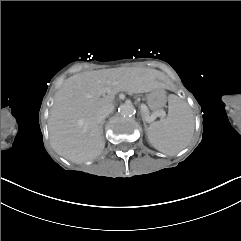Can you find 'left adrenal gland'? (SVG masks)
Here are the masks:
<instances>
[{
    "label": "left adrenal gland",
    "instance_id": "a2214340",
    "mask_svg": "<svg viewBox=\"0 0 241 241\" xmlns=\"http://www.w3.org/2000/svg\"><path fill=\"white\" fill-rule=\"evenodd\" d=\"M141 115H142L143 123H144V125H146V121H145V115H144V113H141Z\"/></svg>",
    "mask_w": 241,
    "mask_h": 241
}]
</instances>
